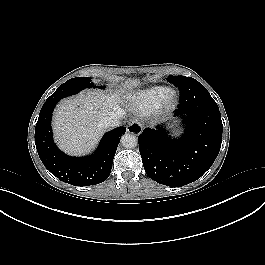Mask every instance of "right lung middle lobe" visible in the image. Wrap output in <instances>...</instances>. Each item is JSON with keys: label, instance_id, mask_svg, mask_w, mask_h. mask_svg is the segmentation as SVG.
Here are the masks:
<instances>
[{"label": "right lung middle lobe", "instance_id": "1", "mask_svg": "<svg viewBox=\"0 0 265 265\" xmlns=\"http://www.w3.org/2000/svg\"><path fill=\"white\" fill-rule=\"evenodd\" d=\"M94 87L89 77L72 78L63 83L46 101H59L60 99L76 94L84 88ZM103 88V87H101Z\"/></svg>", "mask_w": 265, "mask_h": 265}]
</instances>
